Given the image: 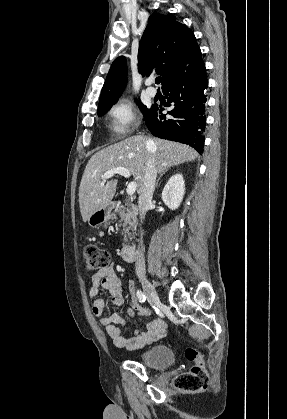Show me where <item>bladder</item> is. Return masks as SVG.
<instances>
[{
    "instance_id": "1",
    "label": "bladder",
    "mask_w": 287,
    "mask_h": 419,
    "mask_svg": "<svg viewBox=\"0 0 287 419\" xmlns=\"http://www.w3.org/2000/svg\"><path fill=\"white\" fill-rule=\"evenodd\" d=\"M139 360L146 366L165 369L175 361L173 350L169 346H155L139 356Z\"/></svg>"
}]
</instances>
